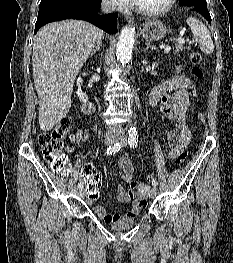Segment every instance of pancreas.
Wrapping results in <instances>:
<instances>
[{
  "instance_id": "pancreas-1",
  "label": "pancreas",
  "mask_w": 233,
  "mask_h": 263,
  "mask_svg": "<svg viewBox=\"0 0 233 263\" xmlns=\"http://www.w3.org/2000/svg\"><path fill=\"white\" fill-rule=\"evenodd\" d=\"M185 49L186 48L181 43L175 45V47L173 48L174 52L177 53V54H179L181 51H183Z\"/></svg>"
}]
</instances>
